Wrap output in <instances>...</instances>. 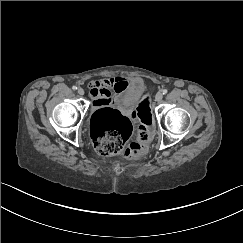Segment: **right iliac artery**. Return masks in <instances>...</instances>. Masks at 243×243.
Returning <instances> with one entry per match:
<instances>
[{"mask_svg":"<svg viewBox=\"0 0 243 243\" xmlns=\"http://www.w3.org/2000/svg\"><path fill=\"white\" fill-rule=\"evenodd\" d=\"M72 89H73V90H76V89H77V87H76V86H73V87H72Z\"/></svg>","mask_w":243,"mask_h":243,"instance_id":"obj_1","label":"right iliac artery"}]
</instances>
